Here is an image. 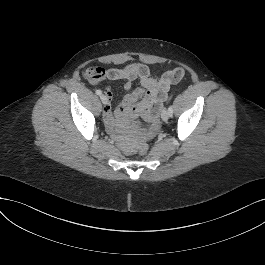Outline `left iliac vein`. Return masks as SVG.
I'll list each match as a JSON object with an SVG mask.
<instances>
[{
  "label": "left iliac vein",
  "mask_w": 265,
  "mask_h": 265,
  "mask_svg": "<svg viewBox=\"0 0 265 265\" xmlns=\"http://www.w3.org/2000/svg\"><path fill=\"white\" fill-rule=\"evenodd\" d=\"M169 113H168V110L164 109L161 113V118L164 122L168 121L169 119Z\"/></svg>",
  "instance_id": "4c4485c4"
}]
</instances>
